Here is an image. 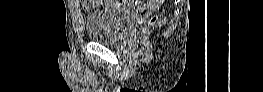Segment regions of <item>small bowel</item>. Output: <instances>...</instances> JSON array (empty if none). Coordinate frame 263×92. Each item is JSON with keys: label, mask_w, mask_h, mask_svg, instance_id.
Segmentation results:
<instances>
[{"label": "small bowel", "mask_w": 263, "mask_h": 92, "mask_svg": "<svg viewBox=\"0 0 263 92\" xmlns=\"http://www.w3.org/2000/svg\"><path fill=\"white\" fill-rule=\"evenodd\" d=\"M75 5H76V7L78 8L79 7V2L78 1H72ZM155 2H157V1H155ZM89 2H87L86 4H88Z\"/></svg>", "instance_id": "small-bowel-1"}]
</instances>
